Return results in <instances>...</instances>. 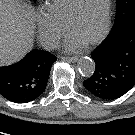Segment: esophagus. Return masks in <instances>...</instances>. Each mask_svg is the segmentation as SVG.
<instances>
[{
  "label": "esophagus",
  "instance_id": "1",
  "mask_svg": "<svg viewBox=\"0 0 135 135\" xmlns=\"http://www.w3.org/2000/svg\"><path fill=\"white\" fill-rule=\"evenodd\" d=\"M62 60L64 61H68V62H72L75 63L78 61V57L73 56V57H61Z\"/></svg>",
  "mask_w": 135,
  "mask_h": 135
}]
</instances>
